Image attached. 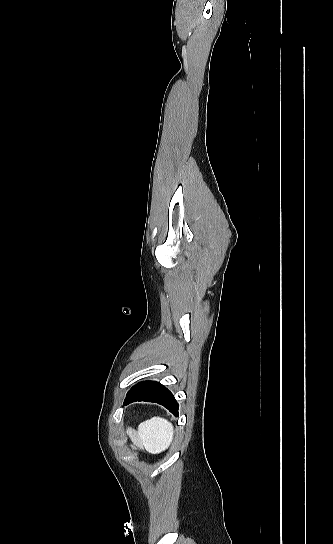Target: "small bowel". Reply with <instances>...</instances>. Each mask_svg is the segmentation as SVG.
Wrapping results in <instances>:
<instances>
[{
    "mask_svg": "<svg viewBox=\"0 0 333 544\" xmlns=\"http://www.w3.org/2000/svg\"><path fill=\"white\" fill-rule=\"evenodd\" d=\"M130 437L134 443V445L137 447V448H141L142 447V442H141V439L140 437L133 431H130Z\"/></svg>",
    "mask_w": 333,
    "mask_h": 544,
    "instance_id": "obj_1",
    "label": "small bowel"
}]
</instances>
